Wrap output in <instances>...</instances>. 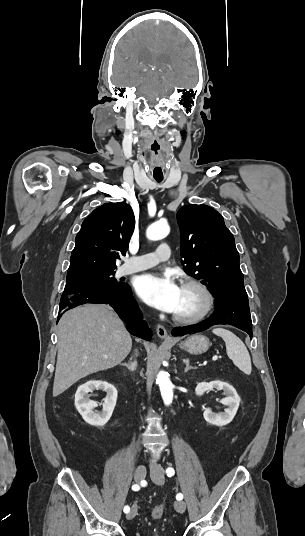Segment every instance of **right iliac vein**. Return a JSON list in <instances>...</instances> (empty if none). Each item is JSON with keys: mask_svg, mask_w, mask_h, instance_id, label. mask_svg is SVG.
<instances>
[{"mask_svg": "<svg viewBox=\"0 0 305 536\" xmlns=\"http://www.w3.org/2000/svg\"><path fill=\"white\" fill-rule=\"evenodd\" d=\"M146 475V467L145 466H138L135 470L134 479L137 483H139L141 480L145 478ZM137 508L136 505H132L131 510L129 514L127 515V519L131 520L136 516Z\"/></svg>", "mask_w": 305, "mask_h": 536, "instance_id": "1", "label": "right iliac vein"}]
</instances>
